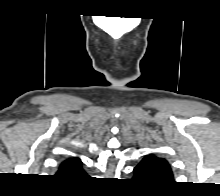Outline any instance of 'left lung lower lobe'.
Here are the masks:
<instances>
[{
    "label": "left lung lower lobe",
    "instance_id": "left-lung-lower-lobe-1",
    "mask_svg": "<svg viewBox=\"0 0 220 196\" xmlns=\"http://www.w3.org/2000/svg\"><path fill=\"white\" fill-rule=\"evenodd\" d=\"M134 179L142 181L145 184H163L155 172L144 161H141L134 168Z\"/></svg>",
    "mask_w": 220,
    "mask_h": 196
}]
</instances>
